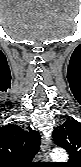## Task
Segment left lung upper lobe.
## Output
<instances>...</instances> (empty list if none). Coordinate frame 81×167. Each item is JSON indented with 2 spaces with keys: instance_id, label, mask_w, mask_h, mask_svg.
Segmentation results:
<instances>
[{
  "instance_id": "obj_1",
  "label": "left lung upper lobe",
  "mask_w": 81,
  "mask_h": 167,
  "mask_svg": "<svg viewBox=\"0 0 81 167\" xmlns=\"http://www.w3.org/2000/svg\"><path fill=\"white\" fill-rule=\"evenodd\" d=\"M53 140L56 145L69 153V161L65 167H79L81 162V123L76 120H67L53 131Z\"/></svg>"
}]
</instances>
